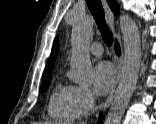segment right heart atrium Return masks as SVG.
Returning a JSON list of instances; mask_svg holds the SVG:
<instances>
[{
    "label": "right heart atrium",
    "instance_id": "right-heart-atrium-1",
    "mask_svg": "<svg viewBox=\"0 0 156 124\" xmlns=\"http://www.w3.org/2000/svg\"><path fill=\"white\" fill-rule=\"evenodd\" d=\"M71 104L74 118L85 116L94 108V93L89 88L74 87Z\"/></svg>",
    "mask_w": 156,
    "mask_h": 124
}]
</instances>
